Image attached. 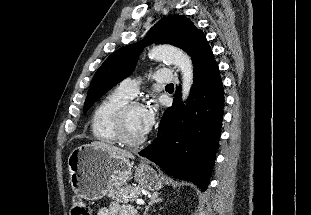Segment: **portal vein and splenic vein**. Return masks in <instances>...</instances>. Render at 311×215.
Segmentation results:
<instances>
[{
    "label": "portal vein and splenic vein",
    "instance_id": "obj_1",
    "mask_svg": "<svg viewBox=\"0 0 311 215\" xmlns=\"http://www.w3.org/2000/svg\"><path fill=\"white\" fill-rule=\"evenodd\" d=\"M136 203H137L138 205H143V204H144V200H142V199H136Z\"/></svg>",
    "mask_w": 311,
    "mask_h": 215
}]
</instances>
